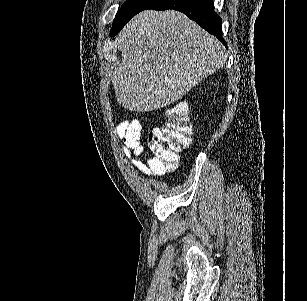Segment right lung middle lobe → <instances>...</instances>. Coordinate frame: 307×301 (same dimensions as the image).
Instances as JSON below:
<instances>
[{"label":"right lung middle lobe","mask_w":307,"mask_h":301,"mask_svg":"<svg viewBox=\"0 0 307 301\" xmlns=\"http://www.w3.org/2000/svg\"><path fill=\"white\" fill-rule=\"evenodd\" d=\"M157 1L158 0H127L115 16L110 36L118 34L132 17L149 8Z\"/></svg>","instance_id":"right-lung-middle-lobe-1"}]
</instances>
